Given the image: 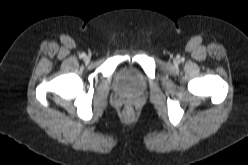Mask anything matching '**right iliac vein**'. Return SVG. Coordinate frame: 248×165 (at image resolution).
Returning <instances> with one entry per match:
<instances>
[{
  "instance_id": "right-iliac-vein-1",
  "label": "right iliac vein",
  "mask_w": 248,
  "mask_h": 165,
  "mask_svg": "<svg viewBox=\"0 0 248 165\" xmlns=\"http://www.w3.org/2000/svg\"><path fill=\"white\" fill-rule=\"evenodd\" d=\"M90 60V57L89 56H84V61L85 62H88Z\"/></svg>"
}]
</instances>
